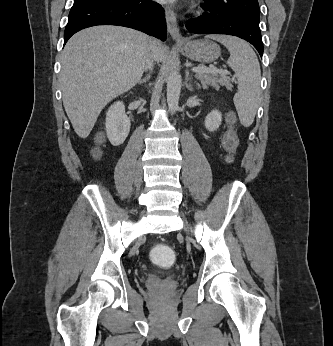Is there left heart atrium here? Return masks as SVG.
<instances>
[{"label":"left heart atrium","instance_id":"39dd6f15","mask_svg":"<svg viewBox=\"0 0 333 346\" xmlns=\"http://www.w3.org/2000/svg\"><path fill=\"white\" fill-rule=\"evenodd\" d=\"M159 1H173V0H159Z\"/></svg>","mask_w":333,"mask_h":346}]
</instances>
